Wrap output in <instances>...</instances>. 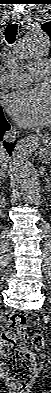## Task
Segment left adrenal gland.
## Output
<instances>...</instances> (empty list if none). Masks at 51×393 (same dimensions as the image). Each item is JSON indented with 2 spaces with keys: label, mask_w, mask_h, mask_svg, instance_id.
<instances>
[{
  "label": "left adrenal gland",
  "mask_w": 51,
  "mask_h": 393,
  "mask_svg": "<svg viewBox=\"0 0 51 393\" xmlns=\"http://www.w3.org/2000/svg\"><path fill=\"white\" fill-rule=\"evenodd\" d=\"M43 174H44V172H43ZM47 183H48V188H50V182H49V180H47ZM49 191V190H48Z\"/></svg>",
  "instance_id": "obj_1"
}]
</instances>
